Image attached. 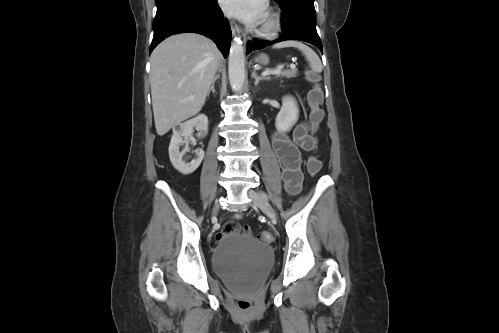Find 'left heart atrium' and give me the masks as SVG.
<instances>
[{
  "mask_svg": "<svg viewBox=\"0 0 499 333\" xmlns=\"http://www.w3.org/2000/svg\"><path fill=\"white\" fill-rule=\"evenodd\" d=\"M223 11L249 24H258L266 14V0H219Z\"/></svg>",
  "mask_w": 499,
  "mask_h": 333,
  "instance_id": "39dd6f15",
  "label": "left heart atrium"
}]
</instances>
